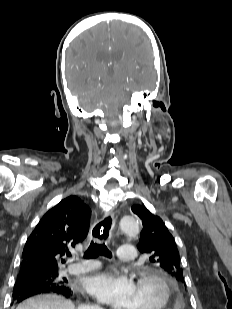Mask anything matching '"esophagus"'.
<instances>
[{"instance_id":"1","label":"esophagus","mask_w":232,"mask_h":309,"mask_svg":"<svg viewBox=\"0 0 232 309\" xmlns=\"http://www.w3.org/2000/svg\"><path fill=\"white\" fill-rule=\"evenodd\" d=\"M114 225V214L112 212L106 213L102 219L92 226L90 230L91 237L96 242H109Z\"/></svg>"}]
</instances>
